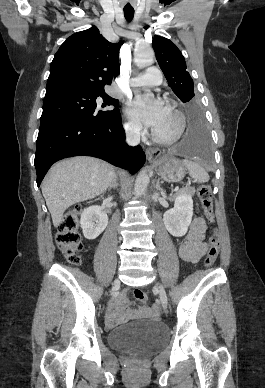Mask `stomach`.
Returning <instances> with one entry per match:
<instances>
[{"label":"stomach","mask_w":265,"mask_h":388,"mask_svg":"<svg viewBox=\"0 0 265 388\" xmlns=\"http://www.w3.org/2000/svg\"><path fill=\"white\" fill-rule=\"evenodd\" d=\"M155 165L161 178L167 182L181 181L186 174L184 164L179 159L172 156L160 158L155 161Z\"/></svg>","instance_id":"1"}]
</instances>
